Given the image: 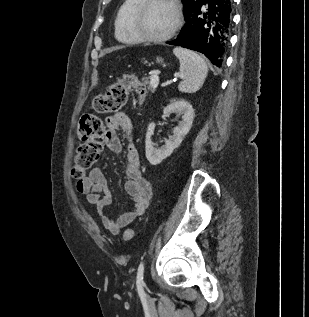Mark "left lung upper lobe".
<instances>
[{"label": "left lung upper lobe", "mask_w": 309, "mask_h": 317, "mask_svg": "<svg viewBox=\"0 0 309 317\" xmlns=\"http://www.w3.org/2000/svg\"><path fill=\"white\" fill-rule=\"evenodd\" d=\"M203 0H182L184 14L201 4Z\"/></svg>", "instance_id": "5c2ea615"}]
</instances>
